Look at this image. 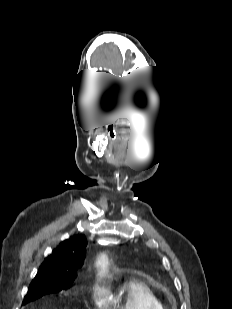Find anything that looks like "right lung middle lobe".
I'll return each instance as SVG.
<instances>
[{
    "label": "right lung middle lobe",
    "instance_id": "obj_1",
    "mask_svg": "<svg viewBox=\"0 0 232 309\" xmlns=\"http://www.w3.org/2000/svg\"><path fill=\"white\" fill-rule=\"evenodd\" d=\"M71 283V280H52L48 278L34 279L24 298L23 304L35 301L43 295L67 289Z\"/></svg>",
    "mask_w": 232,
    "mask_h": 309
}]
</instances>
